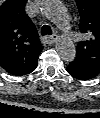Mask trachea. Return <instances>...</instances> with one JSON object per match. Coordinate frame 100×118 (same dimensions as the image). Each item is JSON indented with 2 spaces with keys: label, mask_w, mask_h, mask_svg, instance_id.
<instances>
[{
  "label": "trachea",
  "mask_w": 100,
  "mask_h": 118,
  "mask_svg": "<svg viewBox=\"0 0 100 118\" xmlns=\"http://www.w3.org/2000/svg\"><path fill=\"white\" fill-rule=\"evenodd\" d=\"M41 34L43 36H45V35H51L52 34V30H51L50 26L43 25L42 28H41Z\"/></svg>",
  "instance_id": "obj_1"
}]
</instances>
